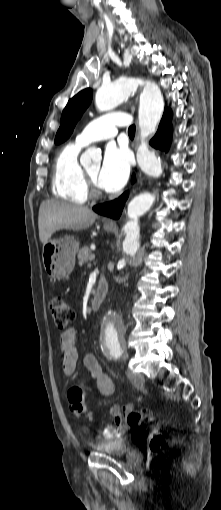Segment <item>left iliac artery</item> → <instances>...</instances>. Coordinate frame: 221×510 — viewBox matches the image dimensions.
I'll use <instances>...</instances> for the list:
<instances>
[{"label": "left iliac artery", "instance_id": "obj_1", "mask_svg": "<svg viewBox=\"0 0 221 510\" xmlns=\"http://www.w3.org/2000/svg\"><path fill=\"white\" fill-rule=\"evenodd\" d=\"M110 354H111V355H112L115 359H117V358H119V357L121 356V354H122V349L120 348V346H119V345H115V346L113 347V349L110 351Z\"/></svg>", "mask_w": 221, "mask_h": 510}]
</instances>
